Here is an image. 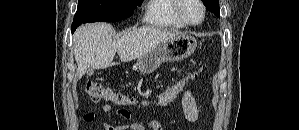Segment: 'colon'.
<instances>
[{
    "label": "colon",
    "instance_id": "5ec220e1",
    "mask_svg": "<svg viewBox=\"0 0 299 130\" xmlns=\"http://www.w3.org/2000/svg\"><path fill=\"white\" fill-rule=\"evenodd\" d=\"M202 71V68L192 71L174 81L157 96L156 100L154 101V105L167 106L168 104L172 103L186 90L190 83L198 78ZM85 92L94 102L110 101L118 106H130L134 103L133 98L125 94L118 93L112 88L104 86L97 81H88L85 85Z\"/></svg>",
    "mask_w": 299,
    "mask_h": 130
}]
</instances>
